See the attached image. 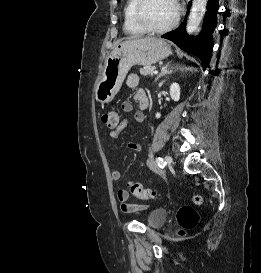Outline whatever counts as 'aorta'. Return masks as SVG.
<instances>
[{"label":"aorta","instance_id":"1","mask_svg":"<svg viewBox=\"0 0 261 273\" xmlns=\"http://www.w3.org/2000/svg\"><path fill=\"white\" fill-rule=\"evenodd\" d=\"M207 2L208 0H193L186 27L188 34L195 32L200 25L206 10Z\"/></svg>","mask_w":261,"mask_h":273}]
</instances>
